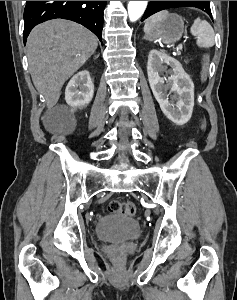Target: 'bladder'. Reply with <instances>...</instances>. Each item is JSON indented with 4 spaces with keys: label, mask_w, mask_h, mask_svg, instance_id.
I'll use <instances>...</instances> for the list:
<instances>
[{
    "label": "bladder",
    "mask_w": 237,
    "mask_h": 300,
    "mask_svg": "<svg viewBox=\"0 0 237 300\" xmlns=\"http://www.w3.org/2000/svg\"><path fill=\"white\" fill-rule=\"evenodd\" d=\"M94 234L101 241H123L138 238L141 227L135 219L115 212L98 219Z\"/></svg>",
    "instance_id": "1"
}]
</instances>
